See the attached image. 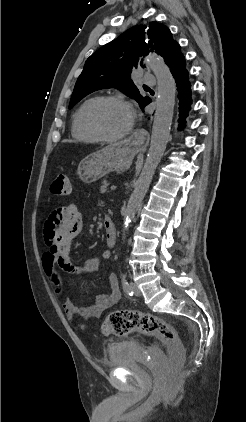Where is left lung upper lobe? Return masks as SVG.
I'll use <instances>...</instances> for the list:
<instances>
[{
	"instance_id": "left-lung-upper-lobe-1",
	"label": "left lung upper lobe",
	"mask_w": 246,
	"mask_h": 422,
	"mask_svg": "<svg viewBox=\"0 0 246 422\" xmlns=\"http://www.w3.org/2000/svg\"><path fill=\"white\" fill-rule=\"evenodd\" d=\"M177 46L179 44L172 38L170 30L157 22L125 31L87 59L75 84L69 108L96 90L114 87L135 99L143 109L151 99L140 95L132 81V71L138 66L144 67L139 59L149 52H156L168 64Z\"/></svg>"
}]
</instances>
